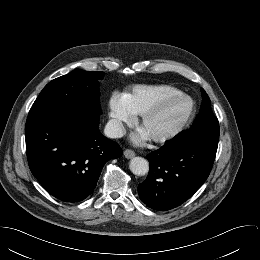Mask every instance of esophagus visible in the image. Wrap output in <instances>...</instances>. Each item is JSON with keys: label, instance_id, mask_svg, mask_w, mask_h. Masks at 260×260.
<instances>
[{"label": "esophagus", "instance_id": "1", "mask_svg": "<svg viewBox=\"0 0 260 260\" xmlns=\"http://www.w3.org/2000/svg\"><path fill=\"white\" fill-rule=\"evenodd\" d=\"M124 156L127 158V159H131L135 156V152L130 150V149H126L124 151Z\"/></svg>", "mask_w": 260, "mask_h": 260}]
</instances>
